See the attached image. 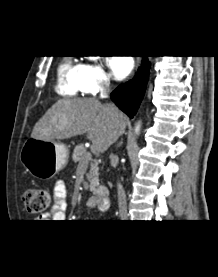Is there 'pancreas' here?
<instances>
[{
	"label": "pancreas",
	"mask_w": 218,
	"mask_h": 277,
	"mask_svg": "<svg viewBox=\"0 0 218 277\" xmlns=\"http://www.w3.org/2000/svg\"><path fill=\"white\" fill-rule=\"evenodd\" d=\"M72 159L75 163H88L92 160L91 153L87 151L83 144L77 145L74 148ZM99 168L96 160H92L91 168L89 173L86 174V177L89 181L90 191H95L96 187L99 185Z\"/></svg>",
	"instance_id": "1"
}]
</instances>
